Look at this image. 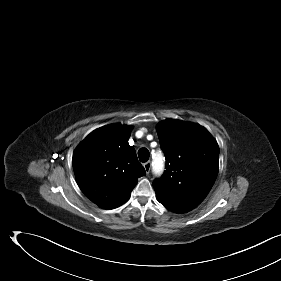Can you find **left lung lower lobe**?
<instances>
[{
  "label": "left lung lower lobe",
  "instance_id": "0a47b994",
  "mask_svg": "<svg viewBox=\"0 0 281 281\" xmlns=\"http://www.w3.org/2000/svg\"><path fill=\"white\" fill-rule=\"evenodd\" d=\"M160 203L163 204L168 210L175 213H185L196 207L181 201L170 202V203L160 202Z\"/></svg>",
  "mask_w": 281,
  "mask_h": 281
}]
</instances>
